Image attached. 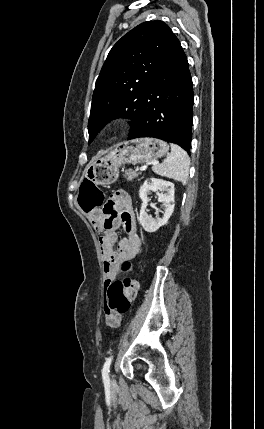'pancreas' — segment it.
<instances>
[{
	"label": "pancreas",
	"mask_w": 264,
	"mask_h": 429,
	"mask_svg": "<svg viewBox=\"0 0 264 429\" xmlns=\"http://www.w3.org/2000/svg\"><path fill=\"white\" fill-rule=\"evenodd\" d=\"M139 173L137 170L128 169L125 171L124 177L127 178L128 181H132L133 179L137 178Z\"/></svg>",
	"instance_id": "obj_1"
}]
</instances>
